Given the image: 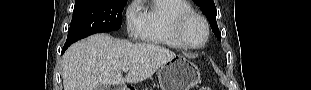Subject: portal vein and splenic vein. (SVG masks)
<instances>
[{"label": "portal vein and splenic vein", "instance_id": "1", "mask_svg": "<svg viewBox=\"0 0 311 90\" xmlns=\"http://www.w3.org/2000/svg\"><path fill=\"white\" fill-rule=\"evenodd\" d=\"M124 72H127L128 70H129V67H123V69H122Z\"/></svg>", "mask_w": 311, "mask_h": 90}]
</instances>
